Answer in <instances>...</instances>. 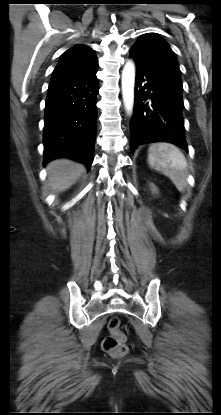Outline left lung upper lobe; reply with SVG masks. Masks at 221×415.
<instances>
[{
	"label": "left lung upper lobe",
	"instance_id": "1",
	"mask_svg": "<svg viewBox=\"0 0 221 415\" xmlns=\"http://www.w3.org/2000/svg\"><path fill=\"white\" fill-rule=\"evenodd\" d=\"M130 56L137 65L152 70L182 87L177 58L161 37L155 34L140 36L131 47Z\"/></svg>",
	"mask_w": 221,
	"mask_h": 415
}]
</instances>
